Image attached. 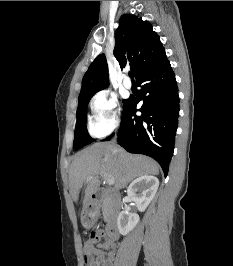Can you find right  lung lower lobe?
<instances>
[{
    "label": "right lung lower lobe",
    "instance_id": "right-lung-lower-lobe-1",
    "mask_svg": "<svg viewBox=\"0 0 233 266\" xmlns=\"http://www.w3.org/2000/svg\"><path fill=\"white\" fill-rule=\"evenodd\" d=\"M141 92L123 106L118 142L130 153L145 154L161 165L167 176L178 126L179 97L174 72L166 55L137 78ZM143 100L140 109H136ZM136 111L142 113L136 116Z\"/></svg>",
    "mask_w": 233,
    "mask_h": 266
}]
</instances>
